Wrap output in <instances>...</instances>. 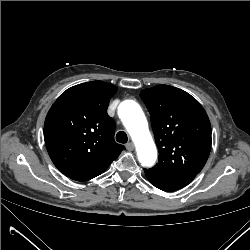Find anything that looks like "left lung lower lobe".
<instances>
[{"label": "left lung lower lobe", "mask_w": 250, "mask_h": 250, "mask_svg": "<svg viewBox=\"0 0 250 250\" xmlns=\"http://www.w3.org/2000/svg\"><path fill=\"white\" fill-rule=\"evenodd\" d=\"M147 179L157 188L163 191H175L188 185L195 174L164 175L157 174L148 169H144Z\"/></svg>", "instance_id": "left-lung-lower-lobe-1"}]
</instances>
